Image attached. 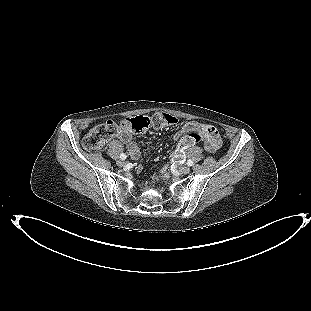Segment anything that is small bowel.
I'll return each instance as SVG.
<instances>
[{"label": "small bowel", "mask_w": 311, "mask_h": 311, "mask_svg": "<svg viewBox=\"0 0 311 311\" xmlns=\"http://www.w3.org/2000/svg\"><path fill=\"white\" fill-rule=\"evenodd\" d=\"M196 132H198L201 135L207 151L214 153L220 148L221 146L220 135L217 129L212 124L209 123H199L194 121L187 122L180 130H178L174 134V138L176 140L182 141L184 140L182 139L184 135H191ZM120 140L127 145L130 157L133 160H137L141 155V151L139 147L133 142L132 134L128 131H123L120 134ZM185 149L186 147L179 146V148L176 150L175 153L176 158L179 159L183 158Z\"/></svg>", "instance_id": "c3829d8e"}]
</instances>
